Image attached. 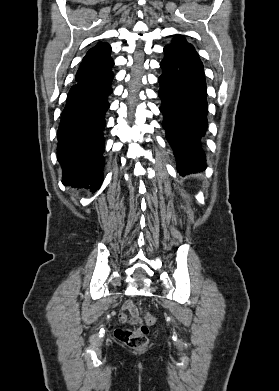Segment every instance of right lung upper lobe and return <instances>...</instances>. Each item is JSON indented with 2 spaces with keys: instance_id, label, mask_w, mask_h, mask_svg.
I'll return each instance as SVG.
<instances>
[{
  "instance_id": "obj_1",
  "label": "right lung upper lobe",
  "mask_w": 279,
  "mask_h": 391,
  "mask_svg": "<svg viewBox=\"0 0 279 391\" xmlns=\"http://www.w3.org/2000/svg\"><path fill=\"white\" fill-rule=\"evenodd\" d=\"M110 52V45L103 42L91 48L82 60L75 81L90 80L110 72L114 65Z\"/></svg>"
}]
</instances>
